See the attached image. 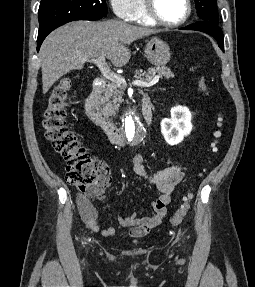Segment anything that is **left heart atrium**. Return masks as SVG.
<instances>
[{
  "label": "left heart atrium",
  "mask_w": 255,
  "mask_h": 287,
  "mask_svg": "<svg viewBox=\"0 0 255 287\" xmlns=\"http://www.w3.org/2000/svg\"><path fill=\"white\" fill-rule=\"evenodd\" d=\"M116 33H125V32H116ZM127 39H130V38H127Z\"/></svg>",
  "instance_id": "1"
}]
</instances>
